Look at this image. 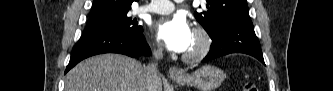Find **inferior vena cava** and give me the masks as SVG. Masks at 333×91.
<instances>
[{
  "instance_id": "inferior-vena-cava-1",
  "label": "inferior vena cava",
  "mask_w": 333,
  "mask_h": 91,
  "mask_svg": "<svg viewBox=\"0 0 333 91\" xmlns=\"http://www.w3.org/2000/svg\"><path fill=\"white\" fill-rule=\"evenodd\" d=\"M154 61L145 67L146 80L149 84V91L152 90V85L159 79L158 76V60L163 58V48L158 46L157 50L153 52Z\"/></svg>"
}]
</instances>
